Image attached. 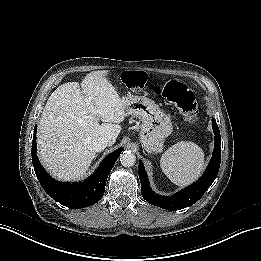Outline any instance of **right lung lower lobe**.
<instances>
[{
  "label": "right lung lower lobe",
  "instance_id": "obj_1",
  "mask_svg": "<svg viewBox=\"0 0 261 261\" xmlns=\"http://www.w3.org/2000/svg\"><path fill=\"white\" fill-rule=\"evenodd\" d=\"M36 130L37 125L34 128L32 141V163L36 176L46 193L55 201L72 209L84 208L98 202L104 195L108 175L123 149H117L109 154L94 174L85 181L77 184L61 183L52 179L38 160Z\"/></svg>",
  "mask_w": 261,
  "mask_h": 261
}]
</instances>
